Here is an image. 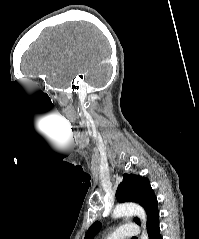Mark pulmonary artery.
Returning <instances> with one entry per match:
<instances>
[{
  "label": "pulmonary artery",
  "mask_w": 199,
  "mask_h": 239,
  "mask_svg": "<svg viewBox=\"0 0 199 239\" xmlns=\"http://www.w3.org/2000/svg\"><path fill=\"white\" fill-rule=\"evenodd\" d=\"M139 228L136 224H125L109 234L106 239H130L137 236Z\"/></svg>",
  "instance_id": "obj_1"
}]
</instances>
